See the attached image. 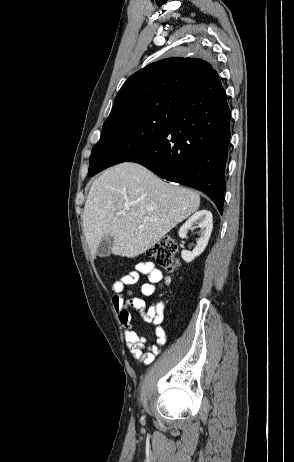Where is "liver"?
Segmentation results:
<instances>
[{"label": "liver", "mask_w": 294, "mask_h": 462, "mask_svg": "<svg viewBox=\"0 0 294 462\" xmlns=\"http://www.w3.org/2000/svg\"><path fill=\"white\" fill-rule=\"evenodd\" d=\"M199 205L197 192L166 183L142 165L124 162L92 183L84 206L83 231L92 255L102 238L110 235L112 254L134 258Z\"/></svg>", "instance_id": "obj_1"}]
</instances>
